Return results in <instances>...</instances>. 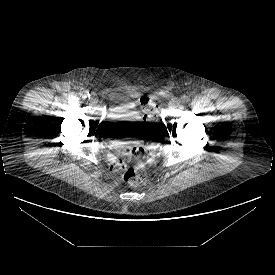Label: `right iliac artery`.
Returning <instances> with one entry per match:
<instances>
[{"instance_id":"1","label":"right iliac artery","mask_w":275,"mask_h":275,"mask_svg":"<svg viewBox=\"0 0 275 275\" xmlns=\"http://www.w3.org/2000/svg\"><path fill=\"white\" fill-rule=\"evenodd\" d=\"M81 97H82L83 99H86V98L90 97V94H89L88 91H83V92L81 93Z\"/></svg>"}]
</instances>
